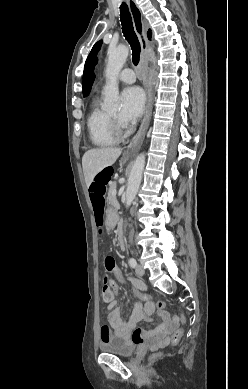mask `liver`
<instances>
[{
	"label": "liver",
	"instance_id": "obj_1",
	"mask_svg": "<svg viewBox=\"0 0 248 389\" xmlns=\"http://www.w3.org/2000/svg\"><path fill=\"white\" fill-rule=\"evenodd\" d=\"M121 153L120 148H94L86 151L82 157V167L87 187L102 169L113 165Z\"/></svg>",
	"mask_w": 248,
	"mask_h": 389
}]
</instances>
